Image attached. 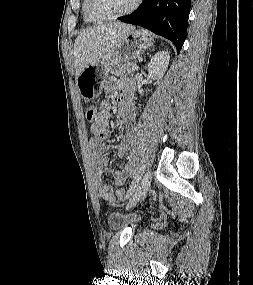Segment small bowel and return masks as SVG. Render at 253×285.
Listing matches in <instances>:
<instances>
[{"instance_id":"1","label":"small bowel","mask_w":253,"mask_h":285,"mask_svg":"<svg viewBox=\"0 0 253 285\" xmlns=\"http://www.w3.org/2000/svg\"><path fill=\"white\" fill-rule=\"evenodd\" d=\"M134 82L130 79H122L111 77L105 83V92L108 94L116 93L118 101V114L121 122L124 124L126 133L121 142L117 146L119 156H125L130 149L135 130L136 109L133 103ZM112 105L108 100H104L100 104V109H96L95 118L92 120L91 132L93 136L89 141L92 148V159L94 165V181L96 189L100 197L109 205H114L121 201L123 197L119 194L118 189L114 192L110 185L102 180V175L112 172L117 185H123L129 179L131 164H125L123 167L111 170L109 166V158L105 152L109 147H102V142L109 137L110 134V111Z\"/></svg>"}]
</instances>
